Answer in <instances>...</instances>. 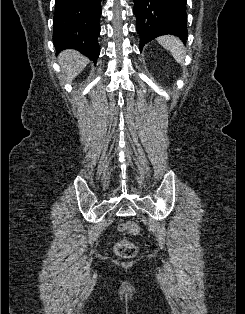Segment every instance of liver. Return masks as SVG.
Wrapping results in <instances>:
<instances>
[{"instance_id":"obj_1","label":"liver","mask_w":245,"mask_h":314,"mask_svg":"<svg viewBox=\"0 0 245 314\" xmlns=\"http://www.w3.org/2000/svg\"><path fill=\"white\" fill-rule=\"evenodd\" d=\"M63 80L71 82L89 63L88 58L74 50H65L58 56Z\"/></svg>"}]
</instances>
